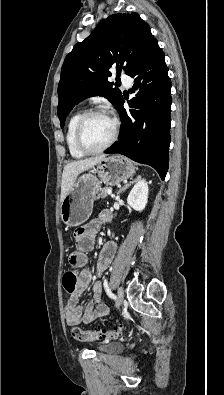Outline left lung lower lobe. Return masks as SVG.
<instances>
[{
  "mask_svg": "<svg viewBox=\"0 0 224 395\" xmlns=\"http://www.w3.org/2000/svg\"><path fill=\"white\" fill-rule=\"evenodd\" d=\"M134 78L128 103L124 98L116 109L122 127L119 140L105 153H119L130 159L152 166L164 180L168 170L170 145L171 81L164 53L154 41L127 74Z\"/></svg>",
  "mask_w": 224,
  "mask_h": 395,
  "instance_id": "obj_1",
  "label": "left lung lower lobe"
}]
</instances>
